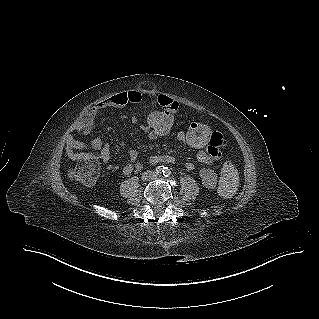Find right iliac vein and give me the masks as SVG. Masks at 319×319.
Instances as JSON below:
<instances>
[{"label": "right iliac vein", "mask_w": 319, "mask_h": 319, "mask_svg": "<svg viewBox=\"0 0 319 319\" xmlns=\"http://www.w3.org/2000/svg\"><path fill=\"white\" fill-rule=\"evenodd\" d=\"M150 176H151L150 172H149V171H146V172H143V173H142L141 179H142L143 181H148V180L150 179Z\"/></svg>", "instance_id": "63e3f726"}]
</instances>
